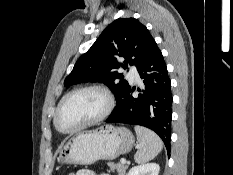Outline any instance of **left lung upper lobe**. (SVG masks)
<instances>
[{
  "instance_id": "5c2ea615",
  "label": "left lung upper lobe",
  "mask_w": 233,
  "mask_h": 175,
  "mask_svg": "<svg viewBox=\"0 0 233 175\" xmlns=\"http://www.w3.org/2000/svg\"><path fill=\"white\" fill-rule=\"evenodd\" d=\"M156 45L149 30L137 19H116L79 58L64 85L67 87L81 82H102L114 93L116 109L130 88L116 69L119 65L127 68V64L139 68ZM119 57L125 58V64L118 63Z\"/></svg>"
}]
</instances>
